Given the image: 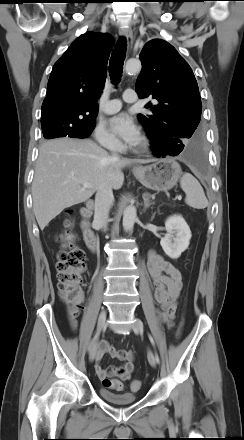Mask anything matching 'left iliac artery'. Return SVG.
Wrapping results in <instances>:
<instances>
[{"instance_id":"left-iliac-artery-1","label":"left iliac artery","mask_w":244,"mask_h":440,"mask_svg":"<svg viewBox=\"0 0 244 440\" xmlns=\"http://www.w3.org/2000/svg\"><path fill=\"white\" fill-rule=\"evenodd\" d=\"M149 339H150L151 343L154 345V340L151 335H149ZM155 361H156V363H160V359H159V356L157 353L155 354Z\"/></svg>"}]
</instances>
